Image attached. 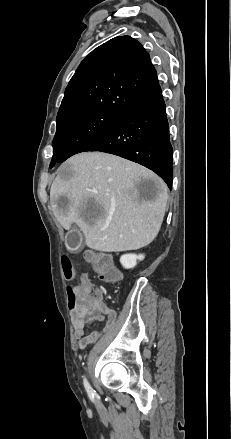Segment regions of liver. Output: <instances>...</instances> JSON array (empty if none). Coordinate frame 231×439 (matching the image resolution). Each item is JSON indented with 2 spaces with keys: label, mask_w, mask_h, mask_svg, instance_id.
<instances>
[{
  "label": "liver",
  "mask_w": 231,
  "mask_h": 439,
  "mask_svg": "<svg viewBox=\"0 0 231 439\" xmlns=\"http://www.w3.org/2000/svg\"><path fill=\"white\" fill-rule=\"evenodd\" d=\"M141 179L153 183L148 195ZM168 190L153 171L119 156L84 152L69 158L50 189V205L62 227L75 223L86 245L101 252L137 250L157 236Z\"/></svg>",
  "instance_id": "liver-1"
}]
</instances>
